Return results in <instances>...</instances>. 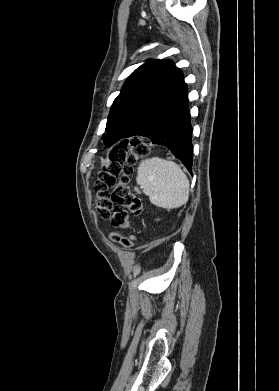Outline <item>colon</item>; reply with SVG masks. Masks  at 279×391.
Returning <instances> with one entry per match:
<instances>
[{"mask_svg":"<svg viewBox=\"0 0 279 391\" xmlns=\"http://www.w3.org/2000/svg\"><path fill=\"white\" fill-rule=\"evenodd\" d=\"M149 148L139 139L121 142L109 157L107 165L100 168L95 182V208L103 219H110L111 224L120 230L130 228L128 212L134 216L143 213L142 200L132 193L129 175L136 163L148 155ZM111 239L125 248L133 246L131 239L118 234H111Z\"/></svg>","mask_w":279,"mask_h":391,"instance_id":"1","label":"colon"}]
</instances>
